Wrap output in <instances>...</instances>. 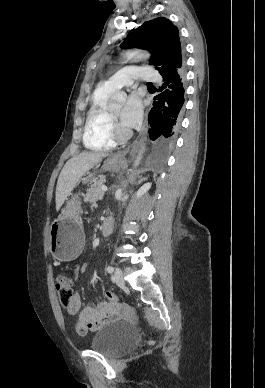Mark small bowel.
<instances>
[{"label":"small bowel","instance_id":"c3829d8e","mask_svg":"<svg viewBox=\"0 0 265 388\" xmlns=\"http://www.w3.org/2000/svg\"><path fill=\"white\" fill-rule=\"evenodd\" d=\"M78 270V265H75V275L78 273ZM67 311L70 315H77L75 330L80 335H85L89 331L99 330L107 322L116 320L120 314L119 306L109 302H98L82 308L80 297L77 293L73 294L71 303L67 306Z\"/></svg>","mask_w":265,"mask_h":388}]
</instances>
